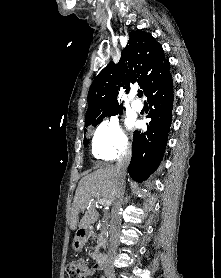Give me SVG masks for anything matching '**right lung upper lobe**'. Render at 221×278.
I'll return each mask as SVG.
<instances>
[{
    "label": "right lung upper lobe",
    "instance_id": "right-lung-upper-lobe-1",
    "mask_svg": "<svg viewBox=\"0 0 221 278\" xmlns=\"http://www.w3.org/2000/svg\"><path fill=\"white\" fill-rule=\"evenodd\" d=\"M169 69L162 46L152 35L141 30L130 32L119 63L110 62L90 86L85 124H92L104 115L123 109L117 103L118 86L129 91L130 85L137 82L146 93Z\"/></svg>",
    "mask_w": 221,
    "mask_h": 278
}]
</instances>
